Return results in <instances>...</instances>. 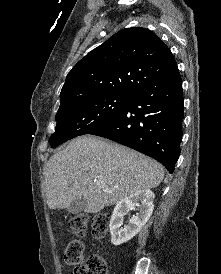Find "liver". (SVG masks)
<instances>
[{"instance_id":"1","label":"liver","mask_w":221,"mask_h":274,"mask_svg":"<svg viewBox=\"0 0 221 274\" xmlns=\"http://www.w3.org/2000/svg\"><path fill=\"white\" fill-rule=\"evenodd\" d=\"M157 161L95 136L69 142L48 161L45 193L50 209L69 208L79 198L86 213H98L137 191L153 189L164 178Z\"/></svg>"}]
</instances>
